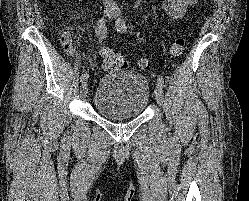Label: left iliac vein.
Instances as JSON below:
<instances>
[{
  "label": "left iliac vein",
  "instance_id": "left-iliac-vein-1",
  "mask_svg": "<svg viewBox=\"0 0 249 201\" xmlns=\"http://www.w3.org/2000/svg\"><path fill=\"white\" fill-rule=\"evenodd\" d=\"M115 15H116V12H115ZM154 93H155V99H156L157 103L160 104V105H162L163 104V100H164V93H163L162 86L159 85V84H157L155 86Z\"/></svg>",
  "mask_w": 249,
  "mask_h": 201
}]
</instances>
